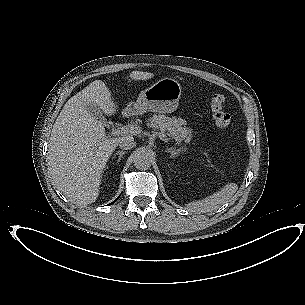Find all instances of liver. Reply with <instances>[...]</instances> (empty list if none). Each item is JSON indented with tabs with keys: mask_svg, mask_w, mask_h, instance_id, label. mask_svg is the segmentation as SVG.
I'll return each instance as SVG.
<instances>
[{
	"mask_svg": "<svg viewBox=\"0 0 305 305\" xmlns=\"http://www.w3.org/2000/svg\"><path fill=\"white\" fill-rule=\"evenodd\" d=\"M95 108L105 115H114L118 108L108 87L99 80L66 102L48 145L53 180L64 194L82 203L97 199L103 170L118 140L106 136Z\"/></svg>",
	"mask_w": 305,
	"mask_h": 305,
	"instance_id": "obj_1",
	"label": "liver"
}]
</instances>
